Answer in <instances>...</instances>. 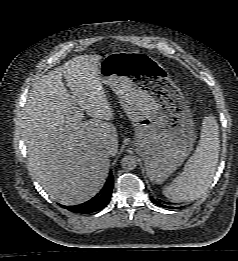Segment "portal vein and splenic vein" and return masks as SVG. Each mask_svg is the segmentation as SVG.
Segmentation results:
<instances>
[{"mask_svg": "<svg viewBox=\"0 0 238 261\" xmlns=\"http://www.w3.org/2000/svg\"><path fill=\"white\" fill-rule=\"evenodd\" d=\"M83 112H82V110L80 109L78 112H77V114H76V118L78 119V120H81L82 118H83Z\"/></svg>", "mask_w": 238, "mask_h": 261, "instance_id": "18ae733b", "label": "portal vein and splenic vein"}]
</instances>
